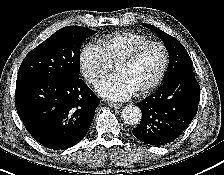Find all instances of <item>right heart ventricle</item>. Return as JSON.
<instances>
[{
  "instance_id": "e07e8e85",
  "label": "right heart ventricle",
  "mask_w": 224,
  "mask_h": 175,
  "mask_svg": "<svg viewBox=\"0 0 224 175\" xmlns=\"http://www.w3.org/2000/svg\"><path fill=\"white\" fill-rule=\"evenodd\" d=\"M150 39L138 32L123 31L110 34L100 40V48L111 64H116L139 45Z\"/></svg>"
}]
</instances>
